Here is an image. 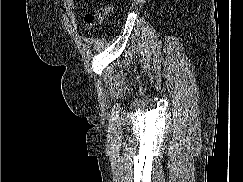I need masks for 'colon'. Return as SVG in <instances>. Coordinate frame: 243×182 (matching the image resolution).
I'll return each instance as SVG.
<instances>
[{
    "label": "colon",
    "instance_id": "5ec220e1",
    "mask_svg": "<svg viewBox=\"0 0 243 182\" xmlns=\"http://www.w3.org/2000/svg\"><path fill=\"white\" fill-rule=\"evenodd\" d=\"M111 12V7L107 6L94 11H91L85 15V24L88 28H92L102 23Z\"/></svg>",
    "mask_w": 243,
    "mask_h": 182
}]
</instances>
